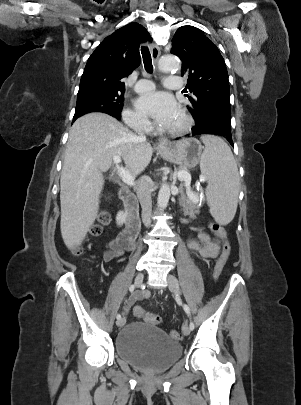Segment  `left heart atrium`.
<instances>
[{
    "mask_svg": "<svg viewBox=\"0 0 301 405\" xmlns=\"http://www.w3.org/2000/svg\"><path fill=\"white\" fill-rule=\"evenodd\" d=\"M137 110L153 118L161 126H168L181 116V109L175 99L165 92H151L136 100Z\"/></svg>",
    "mask_w": 301,
    "mask_h": 405,
    "instance_id": "obj_1",
    "label": "left heart atrium"
}]
</instances>
